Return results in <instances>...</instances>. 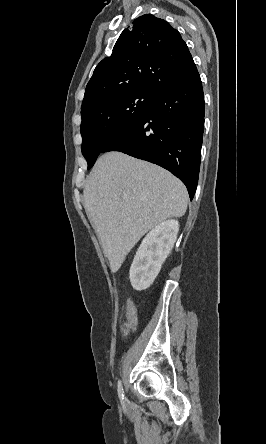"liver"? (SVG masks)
Masks as SVG:
<instances>
[{"instance_id":"obj_1","label":"liver","mask_w":266,"mask_h":444,"mask_svg":"<svg viewBox=\"0 0 266 444\" xmlns=\"http://www.w3.org/2000/svg\"><path fill=\"white\" fill-rule=\"evenodd\" d=\"M83 193L113 273L145 233L166 219L182 217L188 204L185 186L170 172L116 151L97 160Z\"/></svg>"}]
</instances>
